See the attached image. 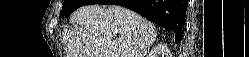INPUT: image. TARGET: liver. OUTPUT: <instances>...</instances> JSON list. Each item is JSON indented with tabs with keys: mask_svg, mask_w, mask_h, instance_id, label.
Listing matches in <instances>:
<instances>
[{
	"mask_svg": "<svg viewBox=\"0 0 249 57\" xmlns=\"http://www.w3.org/2000/svg\"><path fill=\"white\" fill-rule=\"evenodd\" d=\"M71 22L81 29L64 30L67 57H145L157 37L150 21L119 5L83 6Z\"/></svg>",
	"mask_w": 249,
	"mask_h": 57,
	"instance_id": "6515ba94",
	"label": "liver"
}]
</instances>
